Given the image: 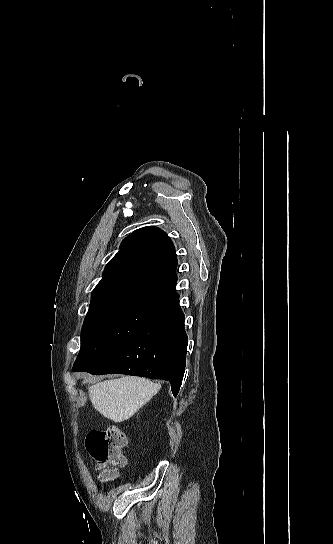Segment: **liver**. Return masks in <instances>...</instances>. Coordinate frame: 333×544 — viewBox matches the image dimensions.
<instances>
[{
	"mask_svg": "<svg viewBox=\"0 0 333 544\" xmlns=\"http://www.w3.org/2000/svg\"><path fill=\"white\" fill-rule=\"evenodd\" d=\"M159 389L148 379L126 376L92 385L88 392L93 407L117 423L131 418Z\"/></svg>",
	"mask_w": 333,
	"mask_h": 544,
	"instance_id": "1",
	"label": "liver"
}]
</instances>
